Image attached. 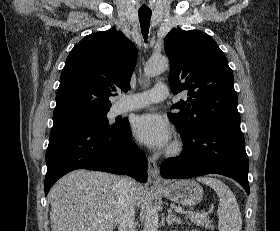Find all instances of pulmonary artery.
Wrapping results in <instances>:
<instances>
[{"instance_id": "e3ab8cb5", "label": "pulmonary artery", "mask_w": 280, "mask_h": 231, "mask_svg": "<svg viewBox=\"0 0 280 231\" xmlns=\"http://www.w3.org/2000/svg\"><path fill=\"white\" fill-rule=\"evenodd\" d=\"M169 95L165 84H157L152 89L128 96V100L120 104V113L136 110L150 104L159 103Z\"/></svg>"}]
</instances>
